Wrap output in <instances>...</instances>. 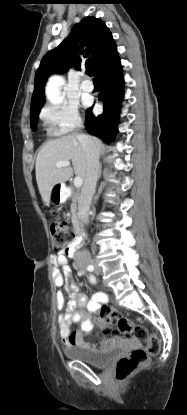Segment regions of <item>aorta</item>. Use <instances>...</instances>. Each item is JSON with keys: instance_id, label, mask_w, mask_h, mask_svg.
I'll use <instances>...</instances> for the list:
<instances>
[{"instance_id": "762f6f07", "label": "aorta", "mask_w": 187, "mask_h": 415, "mask_svg": "<svg viewBox=\"0 0 187 415\" xmlns=\"http://www.w3.org/2000/svg\"><path fill=\"white\" fill-rule=\"evenodd\" d=\"M63 82L64 79L58 75H54L49 79L46 86V97L50 103L57 105L62 102L61 85Z\"/></svg>"}]
</instances>
